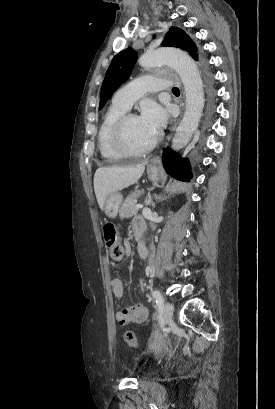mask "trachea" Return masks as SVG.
I'll list each match as a JSON object with an SVG mask.
<instances>
[{
	"instance_id": "obj_1",
	"label": "trachea",
	"mask_w": 275,
	"mask_h": 409,
	"mask_svg": "<svg viewBox=\"0 0 275 409\" xmlns=\"http://www.w3.org/2000/svg\"><path fill=\"white\" fill-rule=\"evenodd\" d=\"M172 91H173V92H179V89H178L177 87H173V88H172Z\"/></svg>"
}]
</instances>
